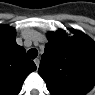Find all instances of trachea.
<instances>
[{
  "instance_id": "trachea-1",
  "label": "trachea",
  "mask_w": 95,
  "mask_h": 95,
  "mask_svg": "<svg viewBox=\"0 0 95 95\" xmlns=\"http://www.w3.org/2000/svg\"><path fill=\"white\" fill-rule=\"evenodd\" d=\"M27 55L31 59H35L38 56V51L36 49H30L27 52Z\"/></svg>"
}]
</instances>
